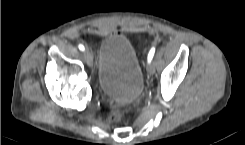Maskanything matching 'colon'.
<instances>
[{"label": "colon", "instance_id": "obj_1", "mask_svg": "<svg viewBox=\"0 0 245 145\" xmlns=\"http://www.w3.org/2000/svg\"><path fill=\"white\" fill-rule=\"evenodd\" d=\"M124 118V111L121 109H114L111 111L109 120L112 123H119L123 120Z\"/></svg>", "mask_w": 245, "mask_h": 145}]
</instances>
